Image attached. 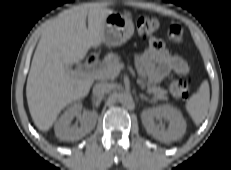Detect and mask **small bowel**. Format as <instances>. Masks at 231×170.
<instances>
[{"label":"small bowel","mask_w":231,"mask_h":170,"mask_svg":"<svg viewBox=\"0 0 231 170\" xmlns=\"http://www.w3.org/2000/svg\"><path fill=\"white\" fill-rule=\"evenodd\" d=\"M170 35L173 39H182L181 29L177 25L170 27ZM136 62L142 72L153 83L164 80L171 72L185 75L189 72L187 62L166 49L163 42L157 38L150 40L149 46L141 54L137 55Z\"/></svg>","instance_id":"obj_1"}]
</instances>
